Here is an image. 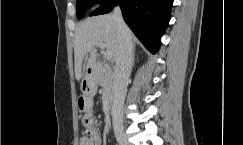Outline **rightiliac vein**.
<instances>
[{
  "mask_svg": "<svg viewBox=\"0 0 243 145\" xmlns=\"http://www.w3.org/2000/svg\"><path fill=\"white\" fill-rule=\"evenodd\" d=\"M117 141H118L119 145H131L125 134L117 135Z\"/></svg>",
  "mask_w": 243,
  "mask_h": 145,
  "instance_id": "1",
  "label": "right iliac vein"
}]
</instances>
